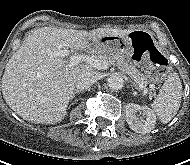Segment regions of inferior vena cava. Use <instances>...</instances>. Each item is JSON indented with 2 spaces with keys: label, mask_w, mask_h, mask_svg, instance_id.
<instances>
[{
  "label": "inferior vena cava",
  "mask_w": 190,
  "mask_h": 165,
  "mask_svg": "<svg viewBox=\"0 0 190 165\" xmlns=\"http://www.w3.org/2000/svg\"><path fill=\"white\" fill-rule=\"evenodd\" d=\"M99 80V74L93 71L81 72L75 80V86L78 90H85Z\"/></svg>",
  "instance_id": "inferior-vena-cava-1"
}]
</instances>
